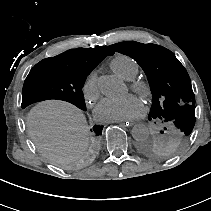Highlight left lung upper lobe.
<instances>
[{
  "label": "left lung upper lobe",
  "mask_w": 211,
  "mask_h": 211,
  "mask_svg": "<svg viewBox=\"0 0 211 211\" xmlns=\"http://www.w3.org/2000/svg\"><path fill=\"white\" fill-rule=\"evenodd\" d=\"M142 67L153 95L148 119L160 127V134L142 141L140 150L147 156L163 158L176 154L191 137L195 125V95L183 65L168 49L135 41L110 45Z\"/></svg>",
  "instance_id": "5c2ea615"
}]
</instances>
